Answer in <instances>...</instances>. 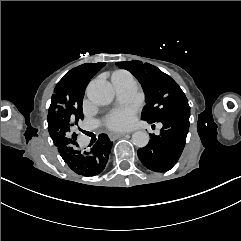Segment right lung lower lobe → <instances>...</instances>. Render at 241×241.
Wrapping results in <instances>:
<instances>
[{"instance_id": "right-lung-lower-lobe-1", "label": "right lung lower lobe", "mask_w": 241, "mask_h": 241, "mask_svg": "<svg viewBox=\"0 0 241 241\" xmlns=\"http://www.w3.org/2000/svg\"><path fill=\"white\" fill-rule=\"evenodd\" d=\"M112 145L113 142L108 136L101 134L89 150L79 149L76 141L73 144H62L57 147L62 159L71 170L79 175L95 176L105 169Z\"/></svg>"}]
</instances>
